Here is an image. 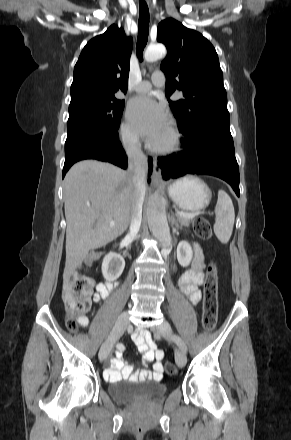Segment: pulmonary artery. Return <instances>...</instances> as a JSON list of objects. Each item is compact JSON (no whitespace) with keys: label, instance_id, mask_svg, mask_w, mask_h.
<instances>
[{"label":"pulmonary artery","instance_id":"1","mask_svg":"<svg viewBox=\"0 0 291 440\" xmlns=\"http://www.w3.org/2000/svg\"><path fill=\"white\" fill-rule=\"evenodd\" d=\"M166 79L163 73H154L150 80H142L135 86V91L145 93L151 90L152 86L161 87L165 84Z\"/></svg>","mask_w":291,"mask_h":440}]
</instances>
